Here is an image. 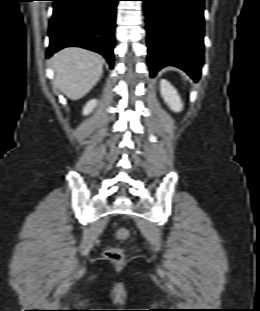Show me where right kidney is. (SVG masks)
<instances>
[{
	"mask_svg": "<svg viewBox=\"0 0 260 311\" xmlns=\"http://www.w3.org/2000/svg\"><path fill=\"white\" fill-rule=\"evenodd\" d=\"M97 105V100L96 99H92L90 100L84 107L83 109V114L84 115H88L89 113L92 112V110L95 108V106Z\"/></svg>",
	"mask_w": 260,
	"mask_h": 311,
	"instance_id": "ca27d5eb",
	"label": "right kidney"
}]
</instances>
